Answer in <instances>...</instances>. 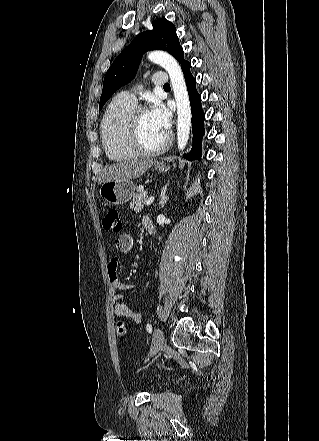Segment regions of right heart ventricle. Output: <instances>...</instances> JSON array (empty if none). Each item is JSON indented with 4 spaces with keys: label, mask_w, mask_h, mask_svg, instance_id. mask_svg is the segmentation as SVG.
Here are the masks:
<instances>
[{
    "label": "right heart ventricle",
    "mask_w": 319,
    "mask_h": 441,
    "mask_svg": "<svg viewBox=\"0 0 319 441\" xmlns=\"http://www.w3.org/2000/svg\"><path fill=\"white\" fill-rule=\"evenodd\" d=\"M136 104L122 95L116 96L107 106L101 127V140L107 156L114 161L137 156L127 141V125Z\"/></svg>",
    "instance_id": "right-heart-ventricle-1"
}]
</instances>
